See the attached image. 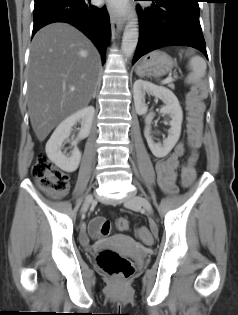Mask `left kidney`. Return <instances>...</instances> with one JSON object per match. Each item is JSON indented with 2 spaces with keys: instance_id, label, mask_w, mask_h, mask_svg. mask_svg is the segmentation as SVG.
I'll return each instance as SVG.
<instances>
[{
  "instance_id": "obj_1",
  "label": "left kidney",
  "mask_w": 238,
  "mask_h": 315,
  "mask_svg": "<svg viewBox=\"0 0 238 315\" xmlns=\"http://www.w3.org/2000/svg\"><path fill=\"white\" fill-rule=\"evenodd\" d=\"M149 94L155 98L161 99L165 106L161 108V113L170 116V126L168 137L163 140V144L155 143L151 137V122L153 114H148L145 117L144 136L147 140L148 146L154 156L158 158L165 157L178 142L181 134V124L183 120V112L177 97L174 93L161 86H156L148 81L136 80L133 85V98L135 110L138 115L147 113L148 106L145 103V95Z\"/></svg>"
}]
</instances>
